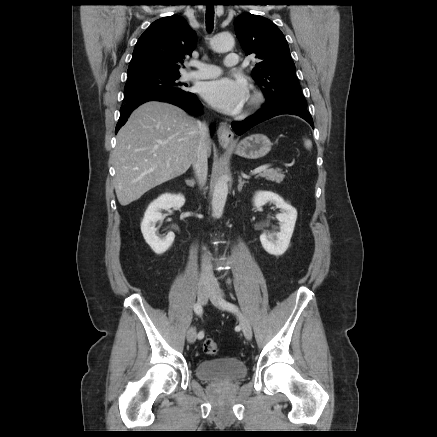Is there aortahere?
Masks as SVG:
<instances>
[{
  "label": "aorta",
  "instance_id": "762f6f07",
  "mask_svg": "<svg viewBox=\"0 0 437 437\" xmlns=\"http://www.w3.org/2000/svg\"><path fill=\"white\" fill-rule=\"evenodd\" d=\"M234 37L228 33H220L211 40L212 49L216 52H226L234 47ZM228 195V176L222 175L216 182L212 197V211L214 216H221Z\"/></svg>",
  "mask_w": 437,
  "mask_h": 437
}]
</instances>
